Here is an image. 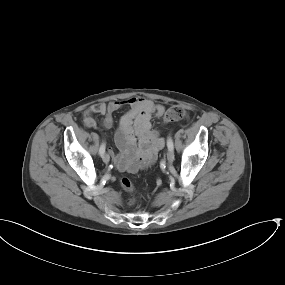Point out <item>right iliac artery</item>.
I'll return each mask as SVG.
<instances>
[{"label": "right iliac artery", "instance_id": "right-iliac-artery-1", "mask_svg": "<svg viewBox=\"0 0 285 285\" xmlns=\"http://www.w3.org/2000/svg\"><path fill=\"white\" fill-rule=\"evenodd\" d=\"M105 147H106V144L103 142L100 146V149H99V154L102 156L105 152Z\"/></svg>", "mask_w": 285, "mask_h": 285}]
</instances>
